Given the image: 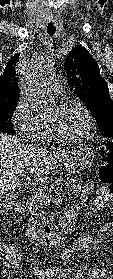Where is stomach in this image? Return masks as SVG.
I'll return each mask as SVG.
<instances>
[{
    "label": "stomach",
    "mask_w": 113,
    "mask_h": 279,
    "mask_svg": "<svg viewBox=\"0 0 113 279\" xmlns=\"http://www.w3.org/2000/svg\"><path fill=\"white\" fill-rule=\"evenodd\" d=\"M97 159L96 152L88 146H79L73 148L65 158V170L70 173H76L94 164Z\"/></svg>",
    "instance_id": "obj_1"
}]
</instances>
